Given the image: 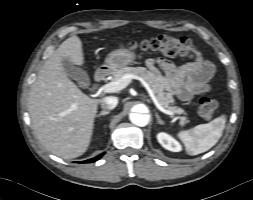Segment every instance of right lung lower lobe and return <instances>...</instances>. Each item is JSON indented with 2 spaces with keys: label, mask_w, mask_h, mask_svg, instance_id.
Masks as SVG:
<instances>
[{
  "label": "right lung lower lobe",
  "mask_w": 253,
  "mask_h": 200,
  "mask_svg": "<svg viewBox=\"0 0 253 200\" xmlns=\"http://www.w3.org/2000/svg\"><path fill=\"white\" fill-rule=\"evenodd\" d=\"M103 156V154H100L98 155L97 157L93 158V159H89V160H86V161H83L81 163H91V162H95L97 161L99 158H101Z\"/></svg>",
  "instance_id": "obj_1"
}]
</instances>
